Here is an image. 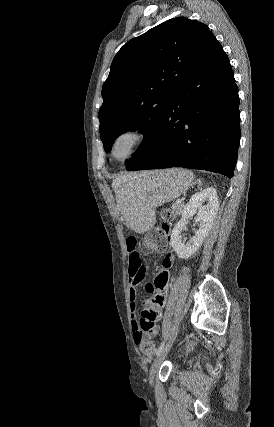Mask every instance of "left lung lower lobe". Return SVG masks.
<instances>
[{
  "mask_svg": "<svg viewBox=\"0 0 274 427\" xmlns=\"http://www.w3.org/2000/svg\"><path fill=\"white\" fill-rule=\"evenodd\" d=\"M238 88L214 37L179 87L147 152L127 170L184 167L232 178L240 141Z\"/></svg>",
  "mask_w": 274,
  "mask_h": 427,
  "instance_id": "1",
  "label": "left lung lower lobe"
}]
</instances>
